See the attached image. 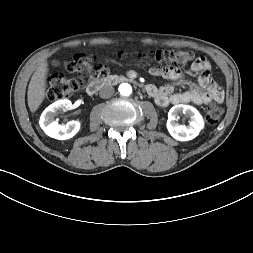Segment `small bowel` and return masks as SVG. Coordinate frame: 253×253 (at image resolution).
Segmentation results:
<instances>
[{"instance_id":"obj_1","label":"small bowel","mask_w":253,"mask_h":253,"mask_svg":"<svg viewBox=\"0 0 253 253\" xmlns=\"http://www.w3.org/2000/svg\"><path fill=\"white\" fill-rule=\"evenodd\" d=\"M185 72L187 76L195 78L199 76L198 86L182 92H175L172 84L161 87L148 85L146 91L152 96L161 107L171 104L194 103L202 105L211 101L220 102L224 99L223 90L213 81L210 74V64L206 58L199 57L193 63L187 65ZM149 73L152 76L164 77L166 79L183 83L185 82L179 68L173 64H162L158 67H151Z\"/></svg>"}]
</instances>
